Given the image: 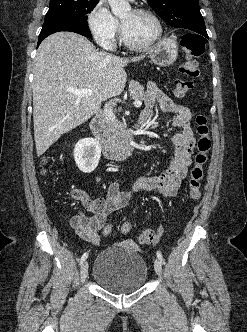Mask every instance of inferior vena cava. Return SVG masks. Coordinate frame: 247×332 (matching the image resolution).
<instances>
[{
    "instance_id": "602c4592",
    "label": "inferior vena cava",
    "mask_w": 247,
    "mask_h": 332,
    "mask_svg": "<svg viewBox=\"0 0 247 332\" xmlns=\"http://www.w3.org/2000/svg\"><path fill=\"white\" fill-rule=\"evenodd\" d=\"M104 118H105V121H106L108 127L112 128L115 116H114L113 110L109 104H106L104 107Z\"/></svg>"
}]
</instances>
